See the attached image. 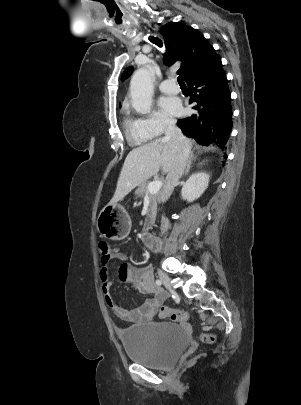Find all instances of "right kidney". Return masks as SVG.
<instances>
[{"label": "right kidney", "instance_id": "right-kidney-1", "mask_svg": "<svg viewBox=\"0 0 301 405\" xmlns=\"http://www.w3.org/2000/svg\"><path fill=\"white\" fill-rule=\"evenodd\" d=\"M210 175L207 172H198L190 176L182 188V198L187 202L198 199L209 184Z\"/></svg>", "mask_w": 301, "mask_h": 405}]
</instances>
